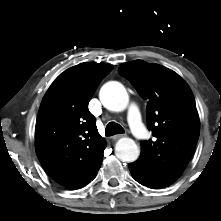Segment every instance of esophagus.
Instances as JSON below:
<instances>
[{"instance_id": "esophagus-1", "label": "esophagus", "mask_w": 221, "mask_h": 221, "mask_svg": "<svg viewBox=\"0 0 221 221\" xmlns=\"http://www.w3.org/2000/svg\"><path fill=\"white\" fill-rule=\"evenodd\" d=\"M124 137H127V135L126 134H119V135L114 136V139H120V138H124Z\"/></svg>"}]
</instances>
